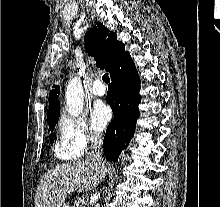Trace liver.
<instances>
[{
	"mask_svg": "<svg viewBox=\"0 0 220 207\" xmlns=\"http://www.w3.org/2000/svg\"><path fill=\"white\" fill-rule=\"evenodd\" d=\"M105 175V167L99 169L88 161L58 165L41 177L35 207H61L70 193L92 190Z\"/></svg>",
	"mask_w": 220,
	"mask_h": 207,
	"instance_id": "6515ba94",
	"label": "liver"
}]
</instances>
